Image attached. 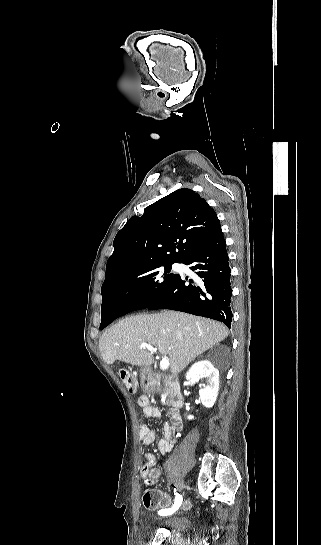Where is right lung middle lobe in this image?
Masks as SVG:
<instances>
[{
    "instance_id": "1",
    "label": "right lung middle lobe",
    "mask_w": 321,
    "mask_h": 545,
    "mask_svg": "<svg viewBox=\"0 0 321 545\" xmlns=\"http://www.w3.org/2000/svg\"><path fill=\"white\" fill-rule=\"evenodd\" d=\"M172 264H160L126 276L117 286L101 289L102 305L110 297H132L143 304H149L161 295L177 274L170 273ZM164 266V271L160 267ZM102 318V317H101ZM105 320L102 318L100 329Z\"/></svg>"
}]
</instances>
